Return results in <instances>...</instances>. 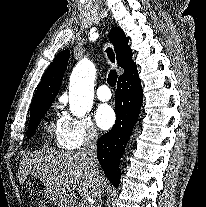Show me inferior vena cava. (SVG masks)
Segmentation results:
<instances>
[{
    "instance_id": "1",
    "label": "inferior vena cava",
    "mask_w": 206,
    "mask_h": 207,
    "mask_svg": "<svg viewBox=\"0 0 206 207\" xmlns=\"http://www.w3.org/2000/svg\"><path fill=\"white\" fill-rule=\"evenodd\" d=\"M98 140L97 132L91 130L84 140V144L81 148V155L86 160L88 167L93 175V182L95 188V197H97L95 205H89L88 207H102V184H101V176L102 171L100 169L99 162L97 160L96 154V144Z\"/></svg>"
}]
</instances>
